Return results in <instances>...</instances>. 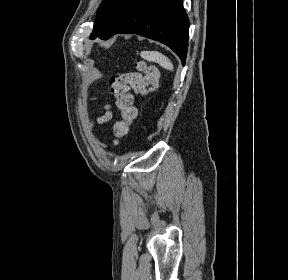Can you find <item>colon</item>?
I'll return each instance as SVG.
<instances>
[{"label":"colon","instance_id":"obj_1","mask_svg":"<svg viewBox=\"0 0 288 280\" xmlns=\"http://www.w3.org/2000/svg\"><path fill=\"white\" fill-rule=\"evenodd\" d=\"M135 67L136 71L116 75L110 80V92L115 97L116 106L121 114V119L113 126L116 143L127 135L137 115L130 89L137 94L146 95L158 87L159 69L155 65L139 60Z\"/></svg>","mask_w":288,"mask_h":280}]
</instances>
